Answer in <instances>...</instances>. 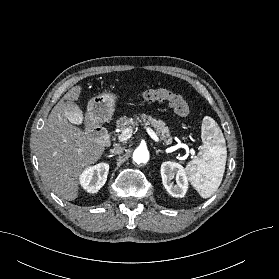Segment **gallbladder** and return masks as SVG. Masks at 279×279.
<instances>
[{"mask_svg": "<svg viewBox=\"0 0 279 279\" xmlns=\"http://www.w3.org/2000/svg\"><path fill=\"white\" fill-rule=\"evenodd\" d=\"M66 111H67V117L71 122L75 124L82 123L83 121L82 112L77 104H75L74 102H67Z\"/></svg>", "mask_w": 279, "mask_h": 279, "instance_id": "gallbladder-1", "label": "gallbladder"}]
</instances>
